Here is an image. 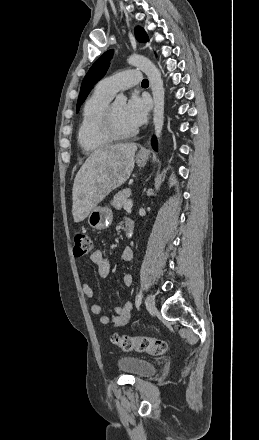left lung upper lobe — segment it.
Returning <instances> with one entry per match:
<instances>
[{
	"label": "left lung upper lobe",
	"instance_id": "5c2ea615",
	"mask_svg": "<svg viewBox=\"0 0 259 440\" xmlns=\"http://www.w3.org/2000/svg\"><path fill=\"white\" fill-rule=\"evenodd\" d=\"M135 34L137 40L140 42H146L148 40V37L144 29L141 27H137L135 29ZM112 56H113V50H109L105 52L89 69L88 73L86 74V76L82 81L81 90L77 102V108H76L77 111L79 110L80 106L88 96L92 87L106 74Z\"/></svg>",
	"mask_w": 259,
	"mask_h": 440
}]
</instances>
